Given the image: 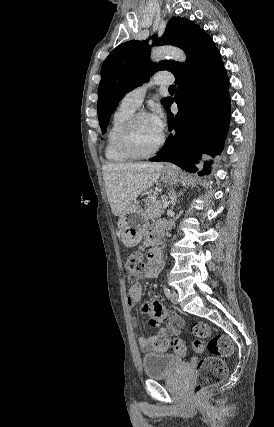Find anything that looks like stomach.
I'll return each mask as SVG.
<instances>
[{"label": "stomach", "mask_w": 274, "mask_h": 427, "mask_svg": "<svg viewBox=\"0 0 274 427\" xmlns=\"http://www.w3.org/2000/svg\"><path fill=\"white\" fill-rule=\"evenodd\" d=\"M179 176V170L176 166L171 168H164L162 174V180L165 184H174ZM118 233L126 247H133L137 245L140 239L143 237L144 231H146L149 223L148 217L144 214L141 208L138 206H131L129 210H125L120 215L118 221Z\"/></svg>", "instance_id": "1"}]
</instances>
